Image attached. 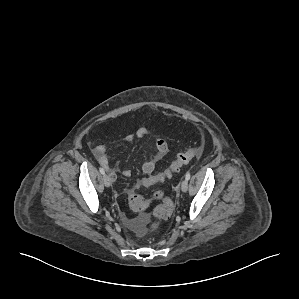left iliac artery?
Masks as SVG:
<instances>
[{
  "label": "left iliac artery",
  "instance_id": "left-iliac-artery-1",
  "mask_svg": "<svg viewBox=\"0 0 299 299\" xmlns=\"http://www.w3.org/2000/svg\"><path fill=\"white\" fill-rule=\"evenodd\" d=\"M190 176H191L190 172H187L186 175H185V179H186V180H189V179H190Z\"/></svg>",
  "mask_w": 299,
  "mask_h": 299
}]
</instances>
